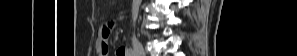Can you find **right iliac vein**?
<instances>
[{"mask_svg":"<svg viewBox=\"0 0 297 56\" xmlns=\"http://www.w3.org/2000/svg\"><path fill=\"white\" fill-rule=\"evenodd\" d=\"M132 45H133V48H134L137 55L145 56L144 47L142 46L141 42L138 39L133 38L132 39Z\"/></svg>","mask_w":297,"mask_h":56,"instance_id":"obj_1","label":"right iliac vein"}]
</instances>
